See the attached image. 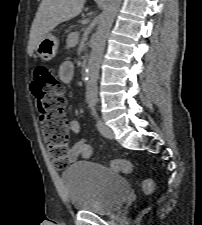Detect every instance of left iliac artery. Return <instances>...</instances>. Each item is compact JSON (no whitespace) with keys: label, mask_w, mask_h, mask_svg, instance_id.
<instances>
[{"label":"left iliac artery","mask_w":202,"mask_h":225,"mask_svg":"<svg viewBox=\"0 0 202 225\" xmlns=\"http://www.w3.org/2000/svg\"><path fill=\"white\" fill-rule=\"evenodd\" d=\"M90 106H91L93 115H94L95 117H97L98 115H97V112H96V101H93V102L90 104Z\"/></svg>","instance_id":"44dca946"}]
</instances>
